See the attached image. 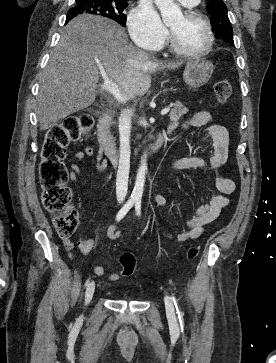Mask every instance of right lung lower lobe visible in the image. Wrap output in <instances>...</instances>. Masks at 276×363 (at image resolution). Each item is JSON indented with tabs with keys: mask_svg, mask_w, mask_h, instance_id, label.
I'll return each mask as SVG.
<instances>
[{
	"mask_svg": "<svg viewBox=\"0 0 276 363\" xmlns=\"http://www.w3.org/2000/svg\"><path fill=\"white\" fill-rule=\"evenodd\" d=\"M73 17H67L66 18V22L65 23H68Z\"/></svg>",
	"mask_w": 276,
	"mask_h": 363,
	"instance_id": "right-lung-lower-lobe-1",
	"label": "right lung lower lobe"
}]
</instances>
